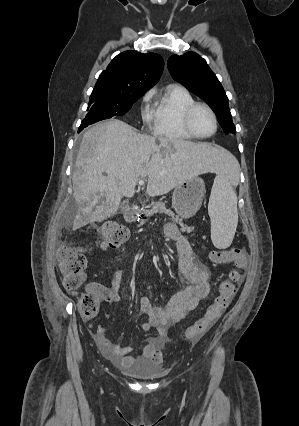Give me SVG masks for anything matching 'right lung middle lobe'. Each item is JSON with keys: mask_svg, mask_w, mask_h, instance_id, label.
Here are the masks:
<instances>
[{"mask_svg": "<svg viewBox=\"0 0 299 426\" xmlns=\"http://www.w3.org/2000/svg\"><path fill=\"white\" fill-rule=\"evenodd\" d=\"M144 93L129 94L109 88L94 87L87 108L88 113L80 128L83 129L90 124L109 119L115 115H124Z\"/></svg>", "mask_w": 299, "mask_h": 426, "instance_id": "right-lung-middle-lobe-1", "label": "right lung middle lobe"}]
</instances>
